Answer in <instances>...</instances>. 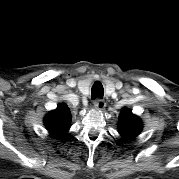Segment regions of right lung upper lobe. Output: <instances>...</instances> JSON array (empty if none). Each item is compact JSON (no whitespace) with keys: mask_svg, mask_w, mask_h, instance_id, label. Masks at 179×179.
Segmentation results:
<instances>
[{"mask_svg":"<svg viewBox=\"0 0 179 179\" xmlns=\"http://www.w3.org/2000/svg\"><path fill=\"white\" fill-rule=\"evenodd\" d=\"M71 113L65 104L57 106L44 119L45 126L49 133L55 138H62L70 128Z\"/></svg>","mask_w":179,"mask_h":179,"instance_id":"obj_1","label":"right lung upper lobe"}]
</instances>
